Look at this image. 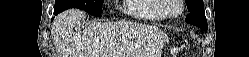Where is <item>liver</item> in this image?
Instances as JSON below:
<instances>
[{
	"label": "liver",
	"mask_w": 249,
	"mask_h": 57,
	"mask_svg": "<svg viewBox=\"0 0 249 57\" xmlns=\"http://www.w3.org/2000/svg\"><path fill=\"white\" fill-rule=\"evenodd\" d=\"M86 13L71 9L54 21L53 35L60 57H160L163 32L158 27L93 21L82 31L74 27Z\"/></svg>",
	"instance_id": "liver-1"
}]
</instances>
